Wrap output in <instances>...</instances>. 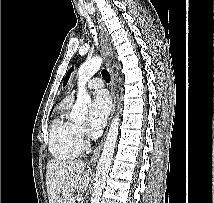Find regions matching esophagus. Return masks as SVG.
<instances>
[{
	"label": "esophagus",
	"instance_id": "1",
	"mask_svg": "<svg viewBox=\"0 0 214 203\" xmlns=\"http://www.w3.org/2000/svg\"><path fill=\"white\" fill-rule=\"evenodd\" d=\"M97 23H98V28H99V32H100V39H101V44H102V49H103V55L106 59V66H107V69H108L110 77H111V94H112L113 102H112L111 116H110V120H109V123H110L112 116L114 114V111H115V104H116L115 76H114L113 68H112V64H111L113 52H112L110 39L107 34L104 22L98 15H97ZM107 130H108V128H107ZM107 130H106L99 146L95 149L93 155L91 156V159L89 162L91 165L95 164L100 156V153L102 151V147H103V144L105 141V136H106Z\"/></svg>",
	"mask_w": 214,
	"mask_h": 203
}]
</instances>
